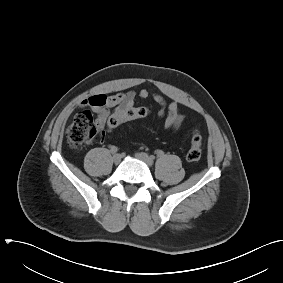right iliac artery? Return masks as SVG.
<instances>
[{"label":"right iliac artery","mask_w":283,"mask_h":283,"mask_svg":"<svg viewBox=\"0 0 283 283\" xmlns=\"http://www.w3.org/2000/svg\"><path fill=\"white\" fill-rule=\"evenodd\" d=\"M118 150H119V149H118V147H116V146H112L111 149H110V151H111L112 154L117 153Z\"/></svg>","instance_id":"obj_1"}]
</instances>
